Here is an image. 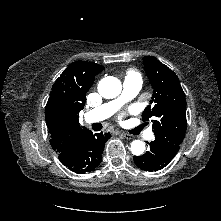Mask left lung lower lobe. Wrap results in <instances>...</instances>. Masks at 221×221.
Segmentation results:
<instances>
[{"label":"left lung lower lobe","instance_id":"obj_1","mask_svg":"<svg viewBox=\"0 0 221 221\" xmlns=\"http://www.w3.org/2000/svg\"><path fill=\"white\" fill-rule=\"evenodd\" d=\"M148 143V142H147ZM149 151L141 156H134L135 164L142 170L153 172L163 169L175 157L180 146L158 139L148 143Z\"/></svg>","mask_w":221,"mask_h":221}]
</instances>
